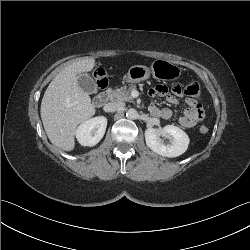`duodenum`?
Here are the masks:
<instances>
[{
  "label": "duodenum",
  "instance_id": "obj_1",
  "mask_svg": "<svg viewBox=\"0 0 250 250\" xmlns=\"http://www.w3.org/2000/svg\"><path fill=\"white\" fill-rule=\"evenodd\" d=\"M107 100H108V93L103 92L95 97V104L97 106H102L107 102Z\"/></svg>",
  "mask_w": 250,
  "mask_h": 250
}]
</instances>
